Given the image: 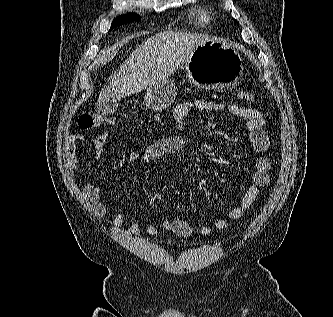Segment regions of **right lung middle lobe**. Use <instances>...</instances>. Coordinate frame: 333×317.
<instances>
[{
  "mask_svg": "<svg viewBox=\"0 0 333 317\" xmlns=\"http://www.w3.org/2000/svg\"><path fill=\"white\" fill-rule=\"evenodd\" d=\"M140 19V17L137 14H133V13H128L126 15H121L119 17H116L111 25L110 30H112L114 27L118 26V25H122V24H126L135 20Z\"/></svg>",
  "mask_w": 333,
  "mask_h": 317,
  "instance_id": "obj_1",
  "label": "right lung middle lobe"
}]
</instances>
